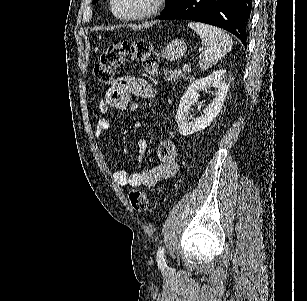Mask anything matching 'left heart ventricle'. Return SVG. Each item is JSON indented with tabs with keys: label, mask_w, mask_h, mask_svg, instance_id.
<instances>
[{
	"label": "left heart ventricle",
	"mask_w": 307,
	"mask_h": 301,
	"mask_svg": "<svg viewBox=\"0 0 307 301\" xmlns=\"http://www.w3.org/2000/svg\"><path fill=\"white\" fill-rule=\"evenodd\" d=\"M151 0H120L122 6L118 7V12L123 11H138L139 14L143 13L149 6Z\"/></svg>",
	"instance_id": "1"
}]
</instances>
